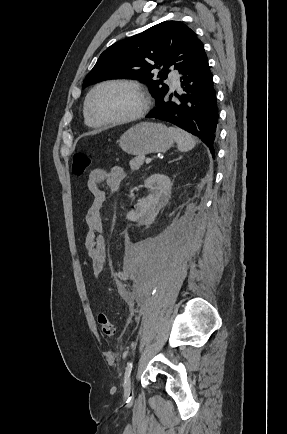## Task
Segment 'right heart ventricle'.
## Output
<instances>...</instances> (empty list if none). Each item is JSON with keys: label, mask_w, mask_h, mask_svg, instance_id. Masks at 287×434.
<instances>
[{"label": "right heart ventricle", "mask_w": 287, "mask_h": 434, "mask_svg": "<svg viewBox=\"0 0 287 434\" xmlns=\"http://www.w3.org/2000/svg\"><path fill=\"white\" fill-rule=\"evenodd\" d=\"M84 118H85V123L89 126H97L96 124H94L86 115V113L84 112Z\"/></svg>", "instance_id": "e07e8e85"}]
</instances>
